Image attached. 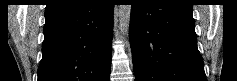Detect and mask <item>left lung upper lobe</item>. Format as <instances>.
<instances>
[{
  "instance_id": "1",
  "label": "left lung upper lobe",
  "mask_w": 237,
  "mask_h": 81,
  "mask_svg": "<svg viewBox=\"0 0 237 81\" xmlns=\"http://www.w3.org/2000/svg\"><path fill=\"white\" fill-rule=\"evenodd\" d=\"M176 1L188 4V5H192L190 0H176Z\"/></svg>"
}]
</instances>
